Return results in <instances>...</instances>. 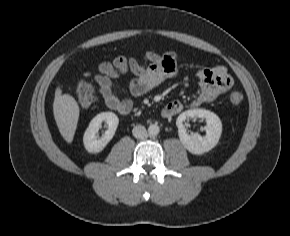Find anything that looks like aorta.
<instances>
[{
	"mask_svg": "<svg viewBox=\"0 0 290 236\" xmlns=\"http://www.w3.org/2000/svg\"><path fill=\"white\" fill-rule=\"evenodd\" d=\"M160 132V128L157 124H152L148 127V133L152 136L158 135Z\"/></svg>",
	"mask_w": 290,
	"mask_h": 236,
	"instance_id": "1",
	"label": "aorta"
}]
</instances>
